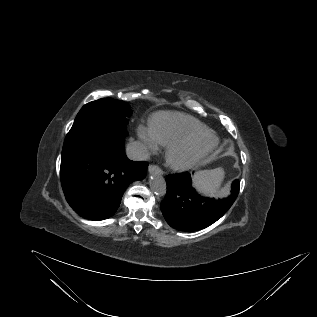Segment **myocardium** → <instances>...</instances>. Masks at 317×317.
<instances>
[{"mask_svg": "<svg viewBox=\"0 0 317 317\" xmlns=\"http://www.w3.org/2000/svg\"><path fill=\"white\" fill-rule=\"evenodd\" d=\"M219 139L211 131L188 135L172 143L166 150L165 158L168 166L176 171H185L195 167L209 156L218 146ZM191 152L185 157L179 155L187 150Z\"/></svg>", "mask_w": 317, "mask_h": 317, "instance_id": "obj_1", "label": "myocardium"}]
</instances>
